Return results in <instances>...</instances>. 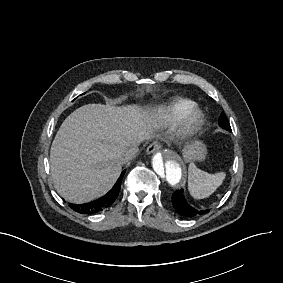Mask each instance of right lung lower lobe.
Returning <instances> with one entry per match:
<instances>
[{
    "mask_svg": "<svg viewBox=\"0 0 283 283\" xmlns=\"http://www.w3.org/2000/svg\"><path fill=\"white\" fill-rule=\"evenodd\" d=\"M125 174V171H123L117 180L116 184L113 186V188L103 197L89 203L85 204H70V207L74 209V211L81 213V214H95L98 212H101L105 208L109 207L117 198L120 187H121V181Z\"/></svg>",
    "mask_w": 283,
    "mask_h": 283,
    "instance_id": "98d812e1",
    "label": "right lung lower lobe"
}]
</instances>
